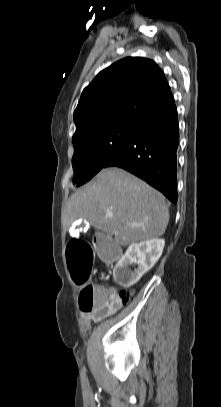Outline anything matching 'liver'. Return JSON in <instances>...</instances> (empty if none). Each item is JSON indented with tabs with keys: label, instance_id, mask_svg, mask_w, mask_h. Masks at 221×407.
<instances>
[{
	"label": "liver",
	"instance_id": "liver-1",
	"mask_svg": "<svg viewBox=\"0 0 221 407\" xmlns=\"http://www.w3.org/2000/svg\"><path fill=\"white\" fill-rule=\"evenodd\" d=\"M86 220L96 230L126 246L164 234L169 222L165 197L120 168L102 169L70 196L68 221Z\"/></svg>",
	"mask_w": 221,
	"mask_h": 407
}]
</instances>
